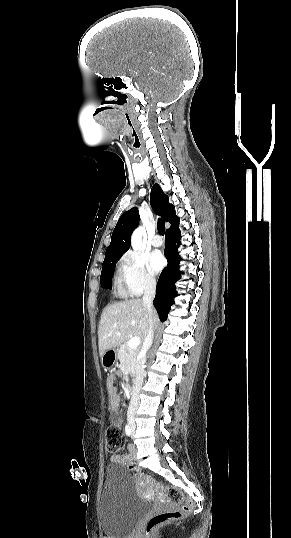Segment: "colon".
<instances>
[{
	"label": "colon",
	"mask_w": 291,
	"mask_h": 538,
	"mask_svg": "<svg viewBox=\"0 0 291 538\" xmlns=\"http://www.w3.org/2000/svg\"><path fill=\"white\" fill-rule=\"evenodd\" d=\"M125 438L121 429L112 425L106 431V450L110 454L118 453L124 446ZM130 469H134L131 462L127 463ZM167 495L178 507L172 511L158 512L152 515L145 524L144 538H150L163 524L168 521L178 520L190 510L191 502L187 500L183 493L177 488H168Z\"/></svg>",
	"instance_id": "5ec220e1"
}]
</instances>
